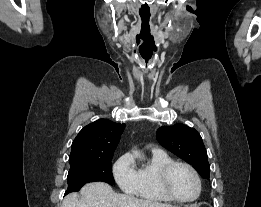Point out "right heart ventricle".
I'll use <instances>...</instances> for the list:
<instances>
[{"instance_id":"right-heart-ventricle-1","label":"right heart ventricle","mask_w":261,"mask_h":207,"mask_svg":"<svg viewBox=\"0 0 261 207\" xmlns=\"http://www.w3.org/2000/svg\"><path fill=\"white\" fill-rule=\"evenodd\" d=\"M172 161V158L165 152L152 151L148 160L137 169L139 184L136 195L139 198L156 202L169 201L159 187L158 175L161 168Z\"/></svg>"}]
</instances>
